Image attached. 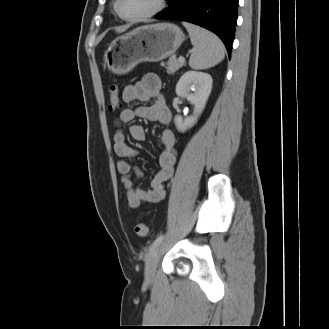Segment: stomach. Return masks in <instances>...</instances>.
<instances>
[{"label":"stomach","instance_id":"obj_1","mask_svg":"<svg viewBox=\"0 0 329 329\" xmlns=\"http://www.w3.org/2000/svg\"><path fill=\"white\" fill-rule=\"evenodd\" d=\"M184 41L182 30L172 23L138 27L114 39L104 54L108 69L125 74L141 62H158L170 57Z\"/></svg>","mask_w":329,"mask_h":329}]
</instances>
